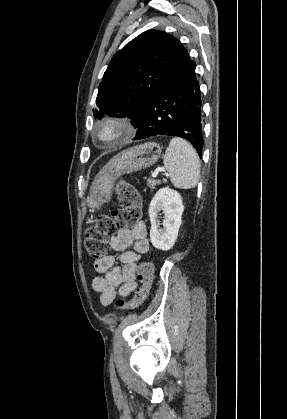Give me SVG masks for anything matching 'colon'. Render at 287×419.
I'll use <instances>...</instances> for the list:
<instances>
[{
  "label": "colon",
  "mask_w": 287,
  "mask_h": 419,
  "mask_svg": "<svg viewBox=\"0 0 287 419\" xmlns=\"http://www.w3.org/2000/svg\"><path fill=\"white\" fill-rule=\"evenodd\" d=\"M116 192L120 201V209L110 215L97 216L93 226L85 232V247L88 256L93 261L103 259L108 251V238L117 228L135 224L141 215V198L136 188L127 181L121 180L116 185ZM153 265L144 261L138 267L137 277L141 286L136 290L130 301L118 300L115 307L118 310L135 309L149 296L153 281Z\"/></svg>",
  "instance_id": "5ec220e1"
}]
</instances>
